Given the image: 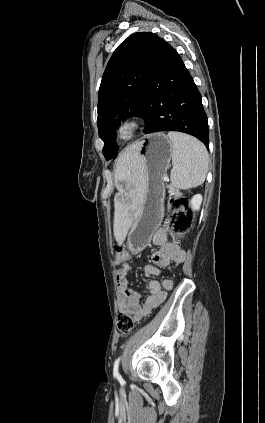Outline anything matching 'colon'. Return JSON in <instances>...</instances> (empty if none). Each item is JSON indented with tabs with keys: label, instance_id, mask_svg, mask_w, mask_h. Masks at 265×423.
<instances>
[{
	"label": "colon",
	"instance_id": "colon-1",
	"mask_svg": "<svg viewBox=\"0 0 265 423\" xmlns=\"http://www.w3.org/2000/svg\"><path fill=\"white\" fill-rule=\"evenodd\" d=\"M172 215L170 219V226L177 234L186 233L191 226L193 213L189 209V202L185 198H171L169 201ZM127 260L126 251L118 246L116 249V261L119 264ZM117 327L121 334L127 335L133 332L135 322L129 312H121L117 318Z\"/></svg>",
	"mask_w": 265,
	"mask_h": 423
}]
</instances>
